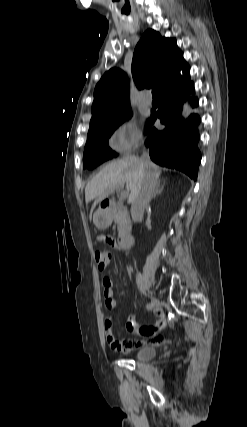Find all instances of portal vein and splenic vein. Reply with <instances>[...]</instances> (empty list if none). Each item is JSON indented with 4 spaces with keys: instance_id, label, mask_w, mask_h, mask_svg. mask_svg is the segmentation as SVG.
Returning a JSON list of instances; mask_svg holds the SVG:
<instances>
[{
    "instance_id": "1",
    "label": "portal vein and splenic vein",
    "mask_w": 247,
    "mask_h": 427,
    "mask_svg": "<svg viewBox=\"0 0 247 427\" xmlns=\"http://www.w3.org/2000/svg\"><path fill=\"white\" fill-rule=\"evenodd\" d=\"M128 196V192L123 191L121 192V198H126Z\"/></svg>"
}]
</instances>
